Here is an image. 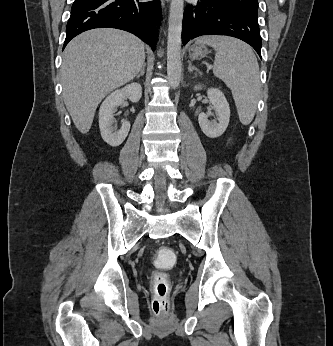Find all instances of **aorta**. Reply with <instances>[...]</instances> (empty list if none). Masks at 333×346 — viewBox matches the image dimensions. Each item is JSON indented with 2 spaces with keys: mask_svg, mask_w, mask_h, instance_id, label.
<instances>
[{
  "mask_svg": "<svg viewBox=\"0 0 333 346\" xmlns=\"http://www.w3.org/2000/svg\"><path fill=\"white\" fill-rule=\"evenodd\" d=\"M183 0H171L168 41L167 77L172 88H177L181 79V32L183 19Z\"/></svg>",
  "mask_w": 333,
  "mask_h": 346,
  "instance_id": "1",
  "label": "aorta"
}]
</instances>
